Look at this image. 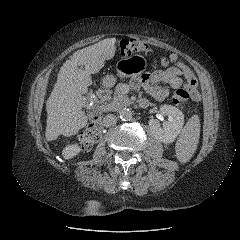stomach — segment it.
<instances>
[{
  "label": "stomach",
  "mask_w": 240,
  "mask_h": 240,
  "mask_svg": "<svg viewBox=\"0 0 240 240\" xmlns=\"http://www.w3.org/2000/svg\"><path fill=\"white\" fill-rule=\"evenodd\" d=\"M147 67L146 59L141 55H130L117 62L116 69L120 76L131 77L142 73ZM115 82L114 76H106L103 80L104 85L111 86Z\"/></svg>",
  "instance_id": "stomach-1"
}]
</instances>
